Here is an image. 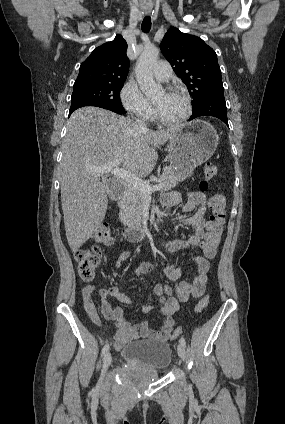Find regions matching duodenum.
Here are the masks:
<instances>
[{"instance_id":"1","label":"duodenum","mask_w":285,"mask_h":424,"mask_svg":"<svg viewBox=\"0 0 285 424\" xmlns=\"http://www.w3.org/2000/svg\"><path fill=\"white\" fill-rule=\"evenodd\" d=\"M111 186L116 192H123L125 189L124 183L119 178L112 179ZM149 234L147 231L130 230L125 236L129 242L135 243L144 240Z\"/></svg>"}]
</instances>
